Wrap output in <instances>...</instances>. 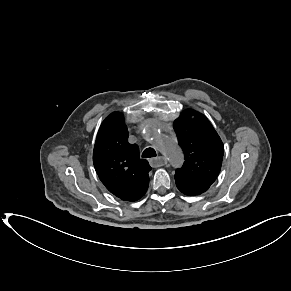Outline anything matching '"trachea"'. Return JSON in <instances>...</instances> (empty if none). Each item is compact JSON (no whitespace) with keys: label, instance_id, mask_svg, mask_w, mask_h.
<instances>
[{"label":"trachea","instance_id":"1","mask_svg":"<svg viewBox=\"0 0 291 291\" xmlns=\"http://www.w3.org/2000/svg\"><path fill=\"white\" fill-rule=\"evenodd\" d=\"M143 158L156 157V151L153 148H146L142 153Z\"/></svg>","mask_w":291,"mask_h":291}]
</instances>
